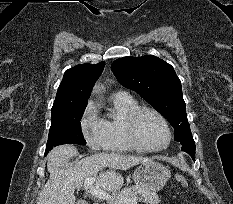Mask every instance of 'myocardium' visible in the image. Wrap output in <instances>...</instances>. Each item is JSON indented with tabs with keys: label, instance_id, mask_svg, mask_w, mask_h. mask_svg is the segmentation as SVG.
<instances>
[{
	"label": "myocardium",
	"instance_id": "f54148a6",
	"mask_svg": "<svg viewBox=\"0 0 233 204\" xmlns=\"http://www.w3.org/2000/svg\"><path fill=\"white\" fill-rule=\"evenodd\" d=\"M145 112L152 113L156 117H158V119L162 122V124L164 125L166 129L167 139H166V142L160 147H156V148L146 147L141 143L139 139L138 132H137V122H138L139 117ZM125 131H126L127 138L130 144L132 145V147L135 150L145 152V153L160 152L166 149L170 145L171 140H172V130L165 116L158 110L152 107H148V106H139L127 116L126 121H125Z\"/></svg>",
	"mask_w": 233,
	"mask_h": 204
}]
</instances>
